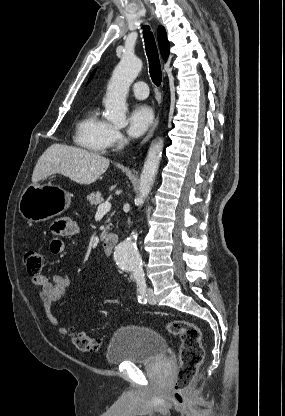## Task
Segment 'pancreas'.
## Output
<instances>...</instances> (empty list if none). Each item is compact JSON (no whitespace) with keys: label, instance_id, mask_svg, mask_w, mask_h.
<instances>
[{"label":"pancreas","instance_id":"1","mask_svg":"<svg viewBox=\"0 0 285 416\" xmlns=\"http://www.w3.org/2000/svg\"><path fill=\"white\" fill-rule=\"evenodd\" d=\"M87 200L88 202H90L91 206H98V204H102V202H104V198L101 194V192H92V194H89V196H87ZM110 216H114V212H112V214H110ZM108 222H110V218L109 220H106L105 224H108ZM110 226H106V228H104L101 236H100V240L101 242H103V240H105L107 234H108V230H109Z\"/></svg>","mask_w":285,"mask_h":416}]
</instances>
